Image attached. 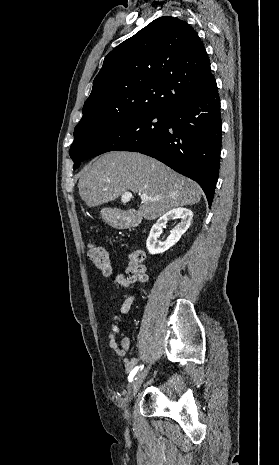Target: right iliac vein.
Returning <instances> with one entry per match:
<instances>
[{"label": "right iliac vein", "instance_id": "right-iliac-vein-1", "mask_svg": "<svg viewBox=\"0 0 279 465\" xmlns=\"http://www.w3.org/2000/svg\"><path fill=\"white\" fill-rule=\"evenodd\" d=\"M148 374V369H145L141 373H139L133 380L132 384L129 387L128 393L126 395V401L130 402L137 394L139 391L144 379L146 378ZM125 418L128 420L129 419V413L126 411L125 413Z\"/></svg>", "mask_w": 279, "mask_h": 465}]
</instances>
